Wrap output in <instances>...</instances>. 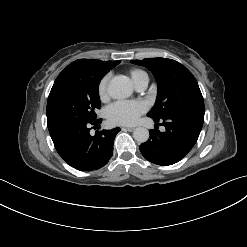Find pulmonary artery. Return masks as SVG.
Masks as SVG:
<instances>
[{
  "instance_id": "1",
  "label": "pulmonary artery",
  "mask_w": 247,
  "mask_h": 247,
  "mask_svg": "<svg viewBox=\"0 0 247 247\" xmlns=\"http://www.w3.org/2000/svg\"><path fill=\"white\" fill-rule=\"evenodd\" d=\"M147 83H148V82H146V81H142V82L136 84V85H135V88H136L138 91H143V90L146 88Z\"/></svg>"
}]
</instances>
